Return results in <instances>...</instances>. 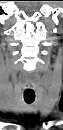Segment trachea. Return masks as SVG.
Wrapping results in <instances>:
<instances>
[{"label": "trachea", "instance_id": "obj_1", "mask_svg": "<svg viewBox=\"0 0 63 130\" xmlns=\"http://www.w3.org/2000/svg\"><path fill=\"white\" fill-rule=\"evenodd\" d=\"M24 100L27 104H31L35 100V93L34 92H24Z\"/></svg>", "mask_w": 63, "mask_h": 130}]
</instances>
